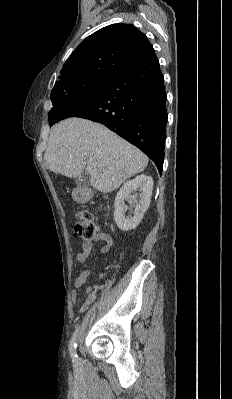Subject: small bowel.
Here are the masks:
<instances>
[{
    "label": "small bowel",
    "instance_id": "1",
    "mask_svg": "<svg viewBox=\"0 0 232 399\" xmlns=\"http://www.w3.org/2000/svg\"><path fill=\"white\" fill-rule=\"evenodd\" d=\"M111 246H112V242L105 243L100 249V254H102V255L106 254L109 251V249L111 248ZM92 249H93L92 242L85 241L83 243L82 251L78 255L79 263L84 264L88 260ZM87 277H88V273L86 271L82 270V271L78 272L77 277L74 279L73 292L70 296V304L72 306H74L77 303V301L80 297L79 289H80L81 285L87 280ZM92 293H93V287H92V285H88L86 287V298L84 299L82 305L78 309V311L80 313L84 312L91 305V303L93 301Z\"/></svg>",
    "mask_w": 232,
    "mask_h": 399
}]
</instances>
